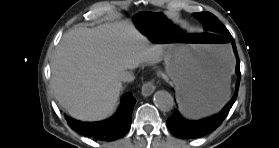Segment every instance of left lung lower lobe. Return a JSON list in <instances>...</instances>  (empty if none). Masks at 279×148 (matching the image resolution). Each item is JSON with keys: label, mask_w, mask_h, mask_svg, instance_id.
<instances>
[{"label": "left lung lower lobe", "mask_w": 279, "mask_h": 148, "mask_svg": "<svg viewBox=\"0 0 279 148\" xmlns=\"http://www.w3.org/2000/svg\"><path fill=\"white\" fill-rule=\"evenodd\" d=\"M222 38L225 40H227L226 38H228L231 41L237 59L236 74L238 78L236 83L235 94L219 114L206 120L188 121L184 119L177 110H175L171 115V117L168 118L167 126L169 130L172 132V134L178 138L181 139L199 138L214 131L225 119V117L227 116L229 110L231 109V107L233 106L237 98L239 83H240V61H239L236 45L232 36L228 35V36H223Z\"/></svg>", "instance_id": "left-lung-lower-lobe-1"}]
</instances>
